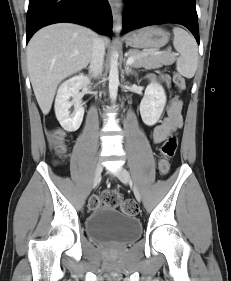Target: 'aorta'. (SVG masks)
Listing matches in <instances>:
<instances>
[{
	"label": "aorta",
	"mask_w": 231,
	"mask_h": 281,
	"mask_svg": "<svg viewBox=\"0 0 231 281\" xmlns=\"http://www.w3.org/2000/svg\"><path fill=\"white\" fill-rule=\"evenodd\" d=\"M118 86H119L118 52L113 51L110 61V72H109V93L112 102H115L117 98Z\"/></svg>",
	"instance_id": "obj_1"
}]
</instances>
